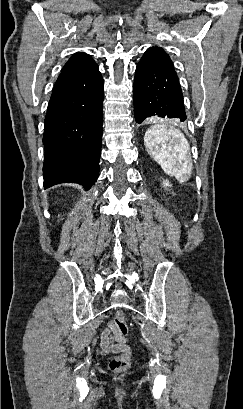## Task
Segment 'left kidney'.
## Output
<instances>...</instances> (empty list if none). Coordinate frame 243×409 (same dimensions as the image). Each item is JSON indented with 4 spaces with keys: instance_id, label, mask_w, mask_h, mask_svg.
<instances>
[{
    "instance_id": "5707ae66",
    "label": "left kidney",
    "mask_w": 243,
    "mask_h": 409,
    "mask_svg": "<svg viewBox=\"0 0 243 409\" xmlns=\"http://www.w3.org/2000/svg\"><path fill=\"white\" fill-rule=\"evenodd\" d=\"M163 186H164V187L170 186V185H169V181H168V180H164V181H163Z\"/></svg>"
}]
</instances>
